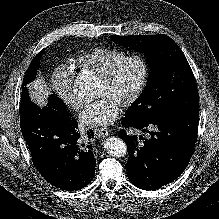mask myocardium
Listing matches in <instances>:
<instances>
[{"instance_id":"obj_1","label":"myocardium","mask_w":219,"mask_h":219,"mask_svg":"<svg viewBox=\"0 0 219 219\" xmlns=\"http://www.w3.org/2000/svg\"><path fill=\"white\" fill-rule=\"evenodd\" d=\"M129 62H136L140 65L141 76L133 93L122 103V107L124 108H129L133 106L140 99L146 89L150 76V65L146 57L140 54L125 56L100 76V80H102L103 82L111 83L117 76L119 71Z\"/></svg>"}]
</instances>
